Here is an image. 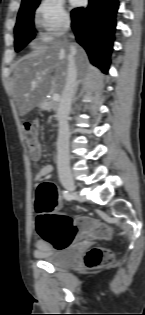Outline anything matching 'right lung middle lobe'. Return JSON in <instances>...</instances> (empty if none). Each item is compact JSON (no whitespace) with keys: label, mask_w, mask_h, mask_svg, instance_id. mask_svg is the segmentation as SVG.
Returning <instances> with one entry per match:
<instances>
[{"label":"right lung middle lobe","mask_w":145,"mask_h":315,"mask_svg":"<svg viewBox=\"0 0 145 315\" xmlns=\"http://www.w3.org/2000/svg\"><path fill=\"white\" fill-rule=\"evenodd\" d=\"M40 0H34L21 5L15 26V51L23 49L36 35L34 27V12Z\"/></svg>","instance_id":"1"}]
</instances>
